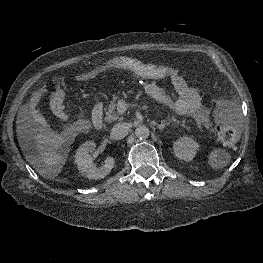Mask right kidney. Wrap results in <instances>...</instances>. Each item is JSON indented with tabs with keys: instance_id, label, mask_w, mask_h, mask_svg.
Wrapping results in <instances>:
<instances>
[{
	"instance_id": "obj_1",
	"label": "right kidney",
	"mask_w": 263,
	"mask_h": 263,
	"mask_svg": "<svg viewBox=\"0 0 263 263\" xmlns=\"http://www.w3.org/2000/svg\"><path fill=\"white\" fill-rule=\"evenodd\" d=\"M96 149V144L93 141L83 143L77 150L75 155V163L81 174L89 179H101L107 176L114 167L115 160L113 157H107L104 165L96 168L92 162L91 153Z\"/></svg>"
}]
</instances>
